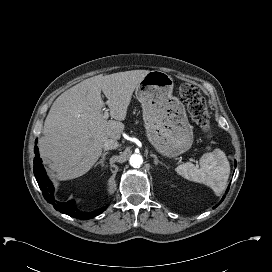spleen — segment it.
<instances>
[{"instance_id": "spleen-1", "label": "spleen", "mask_w": 272, "mask_h": 272, "mask_svg": "<svg viewBox=\"0 0 272 272\" xmlns=\"http://www.w3.org/2000/svg\"><path fill=\"white\" fill-rule=\"evenodd\" d=\"M200 167L188 162L176 167L183 178L209 186L217 196L224 191L230 174V165L223 151L215 149L200 158Z\"/></svg>"}]
</instances>
